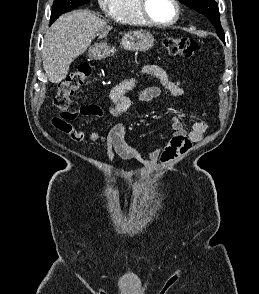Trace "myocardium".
I'll list each match as a JSON object with an SVG mask.
<instances>
[{"label": "myocardium", "mask_w": 259, "mask_h": 294, "mask_svg": "<svg viewBox=\"0 0 259 294\" xmlns=\"http://www.w3.org/2000/svg\"><path fill=\"white\" fill-rule=\"evenodd\" d=\"M139 1V12L142 18L146 21L147 24L156 26V27H170L174 25L180 18L181 10L178 0H172V3L175 8V15L174 18L169 22H158L151 17L148 12V0H138Z\"/></svg>", "instance_id": "obj_1"}]
</instances>
